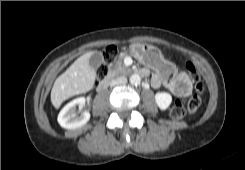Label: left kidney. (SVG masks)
Masks as SVG:
<instances>
[{
  "label": "left kidney",
  "mask_w": 245,
  "mask_h": 170,
  "mask_svg": "<svg viewBox=\"0 0 245 170\" xmlns=\"http://www.w3.org/2000/svg\"><path fill=\"white\" fill-rule=\"evenodd\" d=\"M155 101L161 110H166L172 102V96L167 92H158L155 94Z\"/></svg>",
  "instance_id": "5707ae66"
}]
</instances>
